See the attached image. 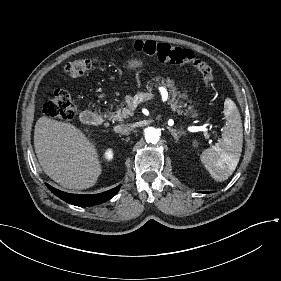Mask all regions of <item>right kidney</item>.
Instances as JSON below:
<instances>
[{
	"instance_id": "right-kidney-1",
	"label": "right kidney",
	"mask_w": 281,
	"mask_h": 281,
	"mask_svg": "<svg viewBox=\"0 0 281 281\" xmlns=\"http://www.w3.org/2000/svg\"><path fill=\"white\" fill-rule=\"evenodd\" d=\"M106 157L109 159V158H112V153H111V151H107L106 152Z\"/></svg>"
}]
</instances>
